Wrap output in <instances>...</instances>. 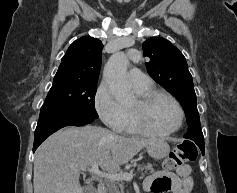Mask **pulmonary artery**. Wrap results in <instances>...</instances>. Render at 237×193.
Listing matches in <instances>:
<instances>
[{"label": "pulmonary artery", "instance_id": "1", "mask_svg": "<svg viewBox=\"0 0 237 193\" xmlns=\"http://www.w3.org/2000/svg\"><path fill=\"white\" fill-rule=\"evenodd\" d=\"M128 78L134 88L143 89L152 86L151 78L140 70H131L128 74Z\"/></svg>", "mask_w": 237, "mask_h": 193}]
</instances>
